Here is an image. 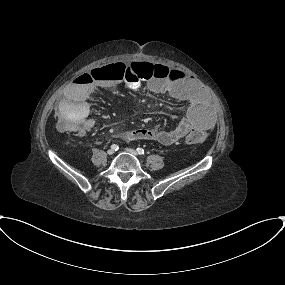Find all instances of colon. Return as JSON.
Segmentation results:
<instances>
[{
  "label": "colon",
  "mask_w": 285,
  "mask_h": 285,
  "mask_svg": "<svg viewBox=\"0 0 285 285\" xmlns=\"http://www.w3.org/2000/svg\"><path fill=\"white\" fill-rule=\"evenodd\" d=\"M122 64H113L108 66L107 71H117L120 75L123 72ZM139 80L142 81H150L153 79L161 80V81H175L182 78V74L178 71L172 70L165 65L162 64H152L149 62H134L128 68ZM104 77V73L99 70L80 72L76 76V81L82 84H90L96 79H102ZM80 120L78 118L71 119L68 117H61L59 121V126L61 129L66 131H76L78 130V125ZM206 140V135L201 130H193L191 131L185 141L189 144L202 143Z\"/></svg>",
  "instance_id": "1"
}]
</instances>
